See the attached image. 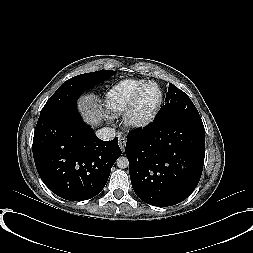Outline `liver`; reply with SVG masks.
I'll return each instance as SVG.
<instances>
[{"label": "liver", "mask_w": 253, "mask_h": 253, "mask_svg": "<svg viewBox=\"0 0 253 253\" xmlns=\"http://www.w3.org/2000/svg\"><path fill=\"white\" fill-rule=\"evenodd\" d=\"M100 102L94 94L84 95L78 100V108L85 122L92 126H97L105 115Z\"/></svg>", "instance_id": "obj_1"}]
</instances>
